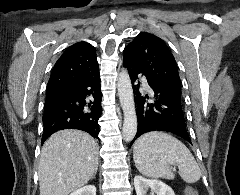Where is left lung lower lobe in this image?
I'll return each instance as SVG.
<instances>
[{
    "mask_svg": "<svg viewBox=\"0 0 240 195\" xmlns=\"http://www.w3.org/2000/svg\"><path fill=\"white\" fill-rule=\"evenodd\" d=\"M123 65L129 72L135 95L136 113L138 118L135 139L146 132L167 131L172 132L191 143L184 123L181 95L166 89L163 84L154 81L144 72L134 67L126 59H123ZM140 74H143L146 77L147 83L154 93V98L151 102H147L146 99H149L148 96L143 97L139 93L140 83L137 80Z\"/></svg>",
    "mask_w": 240,
    "mask_h": 195,
    "instance_id": "obj_1",
    "label": "left lung lower lobe"
}]
</instances>
